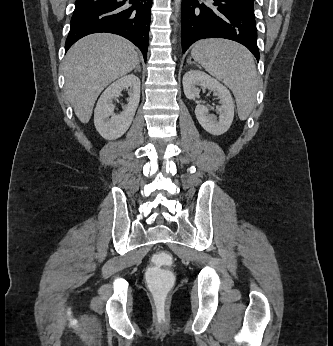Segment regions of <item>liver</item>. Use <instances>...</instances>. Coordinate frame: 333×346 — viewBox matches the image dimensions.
<instances>
[{"instance_id": "liver-1", "label": "liver", "mask_w": 333, "mask_h": 346, "mask_svg": "<svg viewBox=\"0 0 333 346\" xmlns=\"http://www.w3.org/2000/svg\"><path fill=\"white\" fill-rule=\"evenodd\" d=\"M139 63L134 45L118 35L96 33L77 41L64 60L65 93L82 123H88L96 99L114 80Z\"/></svg>"}]
</instances>
